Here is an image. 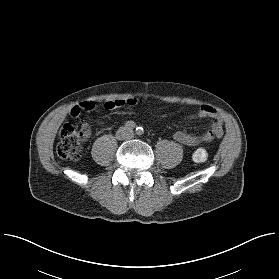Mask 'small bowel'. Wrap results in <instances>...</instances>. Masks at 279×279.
<instances>
[{
    "label": "small bowel",
    "mask_w": 279,
    "mask_h": 279,
    "mask_svg": "<svg viewBox=\"0 0 279 279\" xmlns=\"http://www.w3.org/2000/svg\"><path fill=\"white\" fill-rule=\"evenodd\" d=\"M133 104V100H127V99H122V100H119V101H115V100H110V99H105V105L107 106L108 109H111L115 106H120V105H123V104ZM203 108H206V107H203ZM174 139L180 141V142H183V143H194L196 141L195 137L185 133V132H182V131H178L176 133H174L173 135ZM204 139V137H203Z\"/></svg>",
    "instance_id": "1"
}]
</instances>
